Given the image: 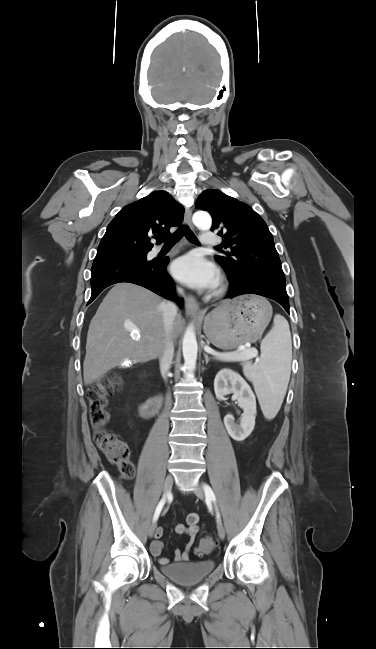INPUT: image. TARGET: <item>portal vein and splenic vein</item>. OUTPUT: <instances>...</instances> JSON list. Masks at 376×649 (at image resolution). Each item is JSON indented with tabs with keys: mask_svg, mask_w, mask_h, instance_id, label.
<instances>
[{
	"mask_svg": "<svg viewBox=\"0 0 376 649\" xmlns=\"http://www.w3.org/2000/svg\"><path fill=\"white\" fill-rule=\"evenodd\" d=\"M127 328L131 331V334L134 336H137L139 333L134 329V325H128ZM206 351L209 353L216 355L217 353L214 350H207ZM240 350V349H239ZM241 350H247L245 347H243ZM257 356V352L255 350H247V352L243 355L238 354V353H224L220 354L217 356V359L221 361H244V360H250L254 357Z\"/></svg>",
	"mask_w": 376,
	"mask_h": 649,
	"instance_id": "1",
	"label": "portal vein and splenic vein"
}]
</instances>
